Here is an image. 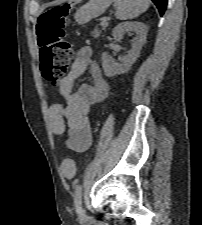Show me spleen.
<instances>
[{"label":"spleen","instance_id":"spleen-1","mask_svg":"<svg viewBox=\"0 0 202 225\" xmlns=\"http://www.w3.org/2000/svg\"><path fill=\"white\" fill-rule=\"evenodd\" d=\"M116 5V17L119 20L133 19L145 12L149 6V0H114Z\"/></svg>","mask_w":202,"mask_h":225}]
</instances>
